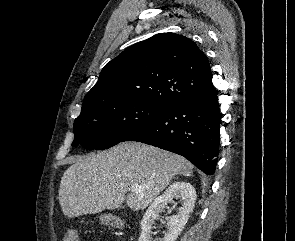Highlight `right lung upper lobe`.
<instances>
[{
  "label": "right lung upper lobe",
  "instance_id": "cb5924a9",
  "mask_svg": "<svg viewBox=\"0 0 295 241\" xmlns=\"http://www.w3.org/2000/svg\"><path fill=\"white\" fill-rule=\"evenodd\" d=\"M212 86L208 58L197 45L179 34L160 33L107 63L86 96L114 91L133 101L165 107Z\"/></svg>",
  "mask_w": 295,
  "mask_h": 241
}]
</instances>
